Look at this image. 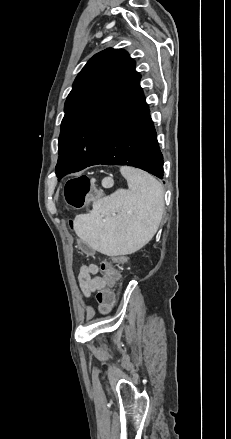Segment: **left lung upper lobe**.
<instances>
[{
  "mask_svg": "<svg viewBox=\"0 0 231 439\" xmlns=\"http://www.w3.org/2000/svg\"><path fill=\"white\" fill-rule=\"evenodd\" d=\"M135 62L122 49L94 55L76 77L65 102L56 175L80 171L142 92Z\"/></svg>",
  "mask_w": 231,
  "mask_h": 439,
  "instance_id": "5c2ea615",
  "label": "left lung upper lobe"
}]
</instances>
